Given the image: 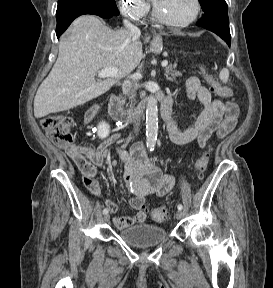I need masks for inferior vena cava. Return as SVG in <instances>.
<instances>
[{
  "label": "inferior vena cava",
  "mask_w": 273,
  "mask_h": 288,
  "mask_svg": "<svg viewBox=\"0 0 273 288\" xmlns=\"http://www.w3.org/2000/svg\"><path fill=\"white\" fill-rule=\"evenodd\" d=\"M124 26L131 32V34L135 37L140 36V30L138 27L131 24L128 20H124ZM122 89L125 94L128 95L129 99L131 100V109L133 110V102L136 100V86H134L131 81L125 80L122 84ZM134 118V128L135 131H138L140 120L137 114H133Z\"/></svg>",
  "instance_id": "1"
}]
</instances>
